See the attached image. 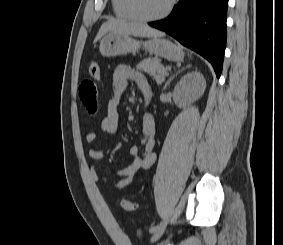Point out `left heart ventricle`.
<instances>
[{
    "label": "left heart ventricle",
    "instance_id": "b2bd125f",
    "mask_svg": "<svg viewBox=\"0 0 283 245\" xmlns=\"http://www.w3.org/2000/svg\"><path fill=\"white\" fill-rule=\"evenodd\" d=\"M169 0H136L138 11L145 16H155L161 13Z\"/></svg>",
    "mask_w": 283,
    "mask_h": 245
}]
</instances>
